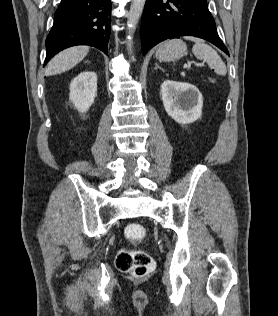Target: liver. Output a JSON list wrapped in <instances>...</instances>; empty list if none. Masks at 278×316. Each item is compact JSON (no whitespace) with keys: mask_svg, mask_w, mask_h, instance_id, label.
<instances>
[{"mask_svg":"<svg viewBox=\"0 0 278 316\" xmlns=\"http://www.w3.org/2000/svg\"><path fill=\"white\" fill-rule=\"evenodd\" d=\"M88 52V46H75L58 53L48 64L45 75H57L73 68L86 57Z\"/></svg>","mask_w":278,"mask_h":316,"instance_id":"6515ba94","label":"liver"}]
</instances>
